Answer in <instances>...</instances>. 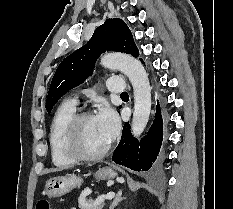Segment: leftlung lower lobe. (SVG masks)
<instances>
[{
	"label": "left lung lower lobe",
	"mask_w": 233,
	"mask_h": 209,
	"mask_svg": "<svg viewBox=\"0 0 233 209\" xmlns=\"http://www.w3.org/2000/svg\"><path fill=\"white\" fill-rule=\"evenodd\" d=\"M140 60L142 61V59ZM162 137L163 122L157 105L156 117L150 131L140 142L132 136L129 123H125L121 140L115 149L112 160L135 171H147L158 156Z\"/></svg>",
	"instance_id": "obj_1"
}]
</instances>
